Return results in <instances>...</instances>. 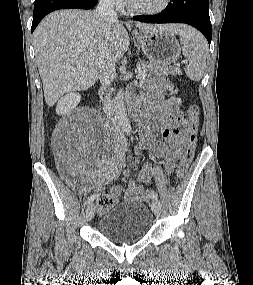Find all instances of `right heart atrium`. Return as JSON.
<instances>
[{
	"label": "right heart atrium",
	"instance_id": "obj_1",
	"mask_svg": "<svg viewBox=\"0 0 253 285\" xmlns=\"http://www.w3.org/2000/svg\"><path fill=\"white\" fill-rule=\"evenodd\" d=\"M107 6L114 9H121L124 6V0H102Z\"/></svg>",
	"mask_w": 253,
	"mask_h": 285
}]
</instances>
